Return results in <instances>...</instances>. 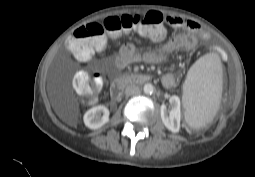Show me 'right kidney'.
<instances>
[{"instance_id": "obj_1", "label": "right kidney", "mask_w": 255, "mask_h": 177, "mask_svg": "<svg viewBox=\"0 0 255 177\" xmlns=\"http://www.w3.org/2000/svg\"><path fill=\"white\" fill-rule=\"evenodd\" d=\"M84 124L90 129H98L109 121V110L103 105L89 109L83 117Z\"/></svg>"}]
</instances>
